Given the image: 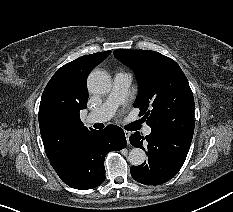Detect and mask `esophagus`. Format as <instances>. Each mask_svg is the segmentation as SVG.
<instances>
[{"label":"esophagus","mask_w":233,"mask_h":212,"mask_svg":"<svg viewBox=\"0 0 233 212\" xmlns=\"http://www.w3.org/2000/svg\"><path fill=\"white\" fill-rule=\"evenodd\" d=\"M125 136H126V140H127L128 144H129L130 132L125 131Z\"/></svg>","instance_id":"obj_1"}]
</instances>
